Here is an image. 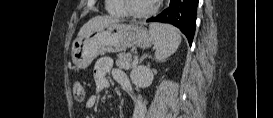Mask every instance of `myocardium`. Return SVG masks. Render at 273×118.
<instances>
[{
  "instance_id": "myocardium-1",
  "label": "myocardium",
  "mask_w": 273,
  "mask_h": 118,
  "mask_svg": "<svg viewBox=\"0 0 273 118\" xmlns=\"http://www.w3.org/2000/svg\"><path fill=\"white\" fill-rule=\"evenodd\" d=\"M123 1H124V6H125V9H126V13L129 16L134 17V18H140V19L148 18V17L154 15L158 10V2L157 1H153L151 7L145 12L134 11L131 8L130 0H123Z\"/></svg>"
}]
</instances>
